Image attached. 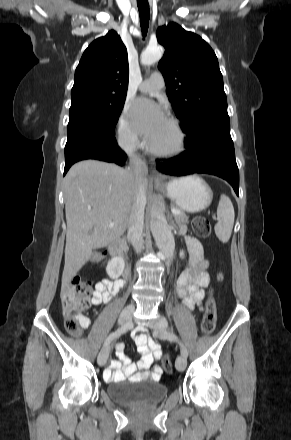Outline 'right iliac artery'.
<instances>
[{
  "label": "right iliac artery",
  "instance_id": "right-iliac-artery-1",
  "mask_svg": "<svg viewBox=\"0 0 291 440\" xmlns=\"http://www.w3.org/2000/svg\"><path fill=\"white\" fill-rule=\"evenodd\" d=\"M130 327H131V323L128 322V323H126L125 325H123L121 328H119L118 330H116L115 332L111 333V334L106 338V340H105V342H104V346H105V347L108 346V345L110 344V342H111L113 339H115V338L121 336L123 333L127 332V330H128Z\"/></svg>",
  "mask_w": 291,
  "mask_h": 440
}]
</instances>
